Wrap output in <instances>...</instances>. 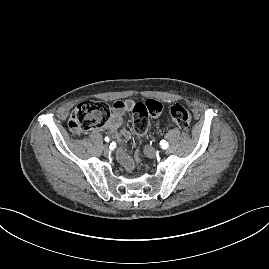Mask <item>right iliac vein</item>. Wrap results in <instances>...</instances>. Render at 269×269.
<instances>
[{
	"label": "right iliac vein",
	"instance_id": "obj_1",
	"mask_svg": "<svg viewBox=\"0 0 269 269\" xmlns=\"http://www.w3.org/2000/svg\"><path fill=\"white\" fill-rule=\"evenodd\" d=\"M103 149H104L105 152H109V151H110V147H109L108 144H105V145L103 146Z\"/></svg>",
	"mask_w": 269,
	"mask_h": 269
}]
</instances>
